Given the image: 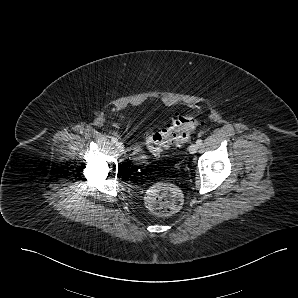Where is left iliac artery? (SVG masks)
<instances>
[{
    "mask_svg": "<svg viewBox=\"0 0 298 298\" xmlns=\"http://www.w3.org/2000/svg\"><path fill=\"white\" fill-rule=\"evenodd\" d=\"M196 144H197V145H201V144H202V140H201V139H198V140L196 141Z\"/></svg>",
    "mask_w": 298,
    "mask_h": 298,
    "instance_id": "1",
    "label": "left iliac artery"
}]
</instances>
